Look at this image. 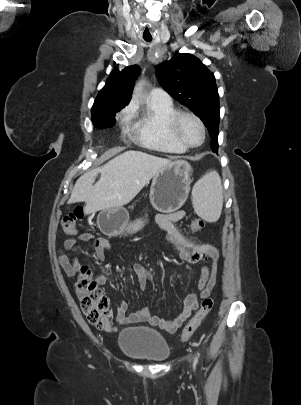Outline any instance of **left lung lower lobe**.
<instances>
[{"label":"left lung lower lobe","mask_w":301,"mask_h":405,"mask_svg":"<svg viewBox=\"0 0 301 405\" xmlns=\"http://www.w3.org/2000/svg\"><path fill=\"white\" fill-rule=\"evenodd\" d=\"M214 152L216 153L218 152V147H215Z\"/></svg>","instance_id":"left-lung-lower-lobe-1"}]
</instances>
